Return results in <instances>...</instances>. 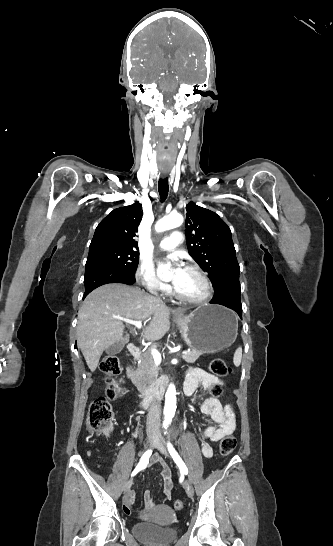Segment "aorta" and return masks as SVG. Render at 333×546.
Masks as SVG:
<instances>
[{
    "mask_svg": "<svg viewBox=\"0 0 333 546\" xmlns=\"http://www.w3.org/2000/svg\"><path fill=\"white\" fill-rule=\"evenodd\" d=\"M183 216L179 213H170L160 219L156 225L157 232L167 231L173 228L180 227L183 224ZM170 265H159L157 268V276L163 280L170 279L172 273L169 271ZM176 411V388L174 384H170L165 395L164 407V425L168 426L172 421Z\"/></svg>",
    "mask_w": 333,
    "mask_h": 546,
    "instance_id": "obj_1",
    "label": "aorta"
}]
</instances>
